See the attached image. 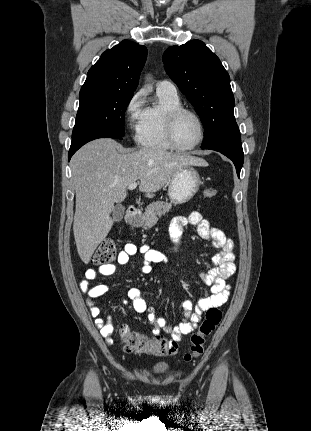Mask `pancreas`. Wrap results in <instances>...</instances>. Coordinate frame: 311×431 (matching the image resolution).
Instances as JSON below:
<instances>
[{"label": "pancreas", "mask_w": 311, "mask_h": 431, "mask_svg": "<svg viewBox=\"0 0 311 431\" xmlns=\"http://www.w3.org/2000/svg\"><path fill=\"white\" fill-rule=\"evenodd\" d=\"M173 206H177V204H169V202H153V204L146 206L142 217L145 229L153 227L159 219L158 216H165V214L170 212Z\"/></svg>", "instance_id": "obj_1"}]
</instances>
